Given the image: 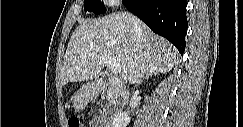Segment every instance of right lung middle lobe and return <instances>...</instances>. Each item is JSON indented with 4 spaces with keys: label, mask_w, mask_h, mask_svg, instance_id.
Instances as JSON below:
<instances>
[{
    "label": "right lung middle lobe",
    "mask_w": 243,
    "mask_h": 127,
    "mask_svg": "<svg viewBox=\"0 0 243 127\" xmlns=\"http://www.w3.org/2000/svg\"><path fill=\"white\" fill-rule=\"evenodd\" d=\"M84 10L94 12L95 14L104 13L105 7L100 0H84Z\"/></svg>",
    "instance_id": "obj_1"
}]
</instances>
